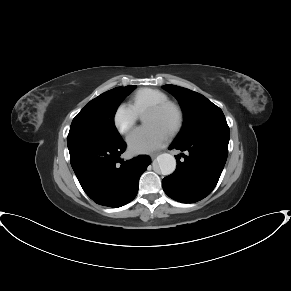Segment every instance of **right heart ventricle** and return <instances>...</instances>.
Segmentation results:
<instances>
[{
	"instance_id": "right-heart-ventricle-1",
	"label": "right heart ventricle",
	"mask_w": 291,
	"mask_h": 291,
	"mask_svg": "<svg viewBox=\"0 0 291 291\" xmlns=\"http://www.w3.org/2000/svg\"><path fill=\"white\" fill-rule=\"evenodd\" d=\"M167 100V95L154 88H141L137 90L130 99V105L138 115L143 114L145 109L153 104Z\"/></svg>"
}]
</instances>
